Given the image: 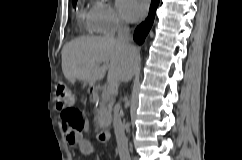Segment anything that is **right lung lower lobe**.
Segmentation results:
<instances>
[{
  "mask_svg": "<svg viewBox=\"0 0 242 160\" xmlns=\"http://www.w3.org/2000/svg\"><path fill=\"white\" fill-rule=\"evenodd\" d=\"M159 1L160 0H152V5L150 7L148 18L136 28L134 33V39L136 40V42L140 44L143 43L146 35L151 29L155 17V12L159 5Z\"/></svg>",
  "mask_w": 242,
  "mask_h": 160,
  "instance_id": "1",
  "label": "right lung lower lobe"
}]
</instances>
